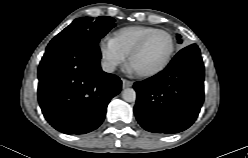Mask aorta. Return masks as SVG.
Masks as SVG:
<instances>
[{"mask_svg": "<svg viewBox=\"0 0 248 158\" xmlns=\"http://www.w3.org/2000/svg\"><path fill=\"white\" fill-rule=\"evenodd\" d=\"M122 98L126 102H135L136 100V92L133 88H126L122 92Z\"/></svg>", "mask_w": 248, "mask_h": 158, "instance_id": "obj_1", "label": "aorta"}]
</instances>
